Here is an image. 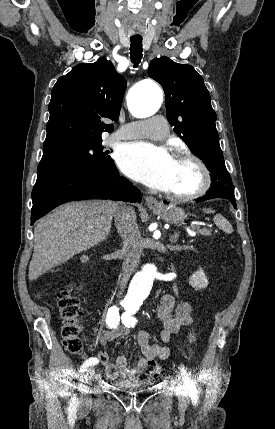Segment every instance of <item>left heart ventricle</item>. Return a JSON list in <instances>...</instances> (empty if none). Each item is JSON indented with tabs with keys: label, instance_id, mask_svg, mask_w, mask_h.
<instances>
[{
	"label": "left heart ventricle",
	"instance_id": "left-heart-ventricle-1",
	"mask_svg": "<svg viewBox=\"0 0 275 429\" xmlns=\"http://www.w3.org/2000/svg\"><path fill=\"white\" fill-rule=\"evenodd\" d=\"M200 182L201 173L193 162L175 159L170 181L165 191L174 194H187L196 190Z\"/></svg>",
	"mask_w": 275,
	"mask_h": 429
}]
</instances>
